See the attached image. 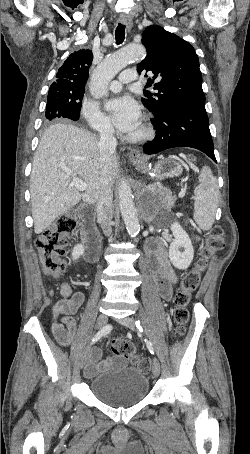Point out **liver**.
Here are the masks:
<instances>
[{
    "label": "liver",
    "mask_w": 250,
    "mask_h": 454,
    "mask_svg": "<svg viewBox=\"0 0 250 454\" xmlns=\"http://www.w3.org/2000/svg\"><path fill=\"white\" fill-rule=\"evenodd\" d=\"M118 158L109 165L111 182L117 176ZM100 150L98 140L71 124L47 128L36 150L30 176L34 231L40 234L61 214L81 200L97 202L100 193ZM79 176L87 184L84 193L72 185Z\"/></svg>",
    "instance_id": "obj_1"
}]
</instances>
